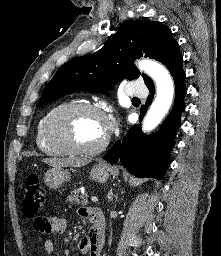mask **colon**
<instances>
[{
  "mask_svg": "<svg viewBox=\"0 0 221 256\" xmlns=\"http://www.w3.org/2000/svg\"><path fill=\"white\" fill-rule=\"evenodd\" d=\"M46 199V193L42 187L39 177L30 174L25 182V197L23 208L27 217L35 218L43 206Z\"/></svg>",
  "mask_w": 221,
  "mask_h": 256,
  "instance_id": "1",
  "label": "colon"
}]
</instances>
